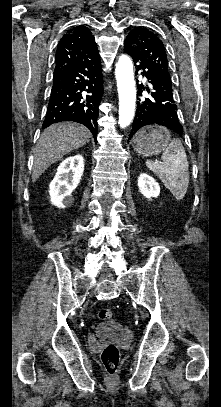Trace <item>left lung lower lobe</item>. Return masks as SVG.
Returning a JSON list of instances; mask_svg holds the SVG:
<instances>
[{
  "label": "left lung lower lobe",
  "instance_id": "0a47b994",
  "mask_svg": "<svg viewBox=\"0 0 221 407\" xmlns=\"http://www.w3.org/2000/svg\"><path fill=\"white\" fill-rule=\"evenodd\" d=\"M124 51L132 57L136 66V72L143 70L141 74L149 80L148 82L152 87L151 92L146 87L150 93L149 98H139L130 137L143 126L153 124L165 126L182 137L183 127L178 120L176 112L177 107L173 98L171 78L158 74L145 62L140 61L136 57L133 45L128 38L124 42ZM138 90L140 92L139 95L142 96L141 92L144 90V86L139 85Z\"/></svg>",
  "mask_w": 221,
  "mask_h": 407
}]
</instances>
